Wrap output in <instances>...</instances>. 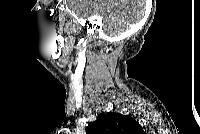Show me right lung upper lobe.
Returning <instances> with one entry per match:
<instances>
[{"instance_id":"right-lung-upper-lobe-1","label":"right lung upper lobe","mask_w":200,"mask_h":134,"mask_svg":"<svg viewBox=\"0 0 200 134\" xmlns=\"http://www.w3.org/2000/svg\"><path fill=\"white\" fill-rule=\"evenodd\" d=\"M141 125L130 116L119 113L101 114L86 127V134H141Z\"/></svg>"}]
</instances>
